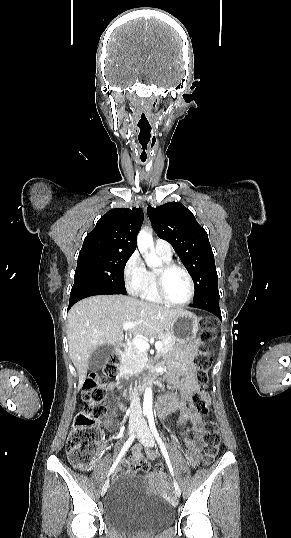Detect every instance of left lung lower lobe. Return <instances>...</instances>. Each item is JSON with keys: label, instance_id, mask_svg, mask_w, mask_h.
<instances>
[{"label": "left lung lower lobe", "instance_id": "left-lung-lower-lobe-1", "mask_svg": "<svg viewBox=\"0 0 291 538\" xmlns=\"http://www.w3.org/2000/svg\"><path fill=\"white\" fill-rule=\"evenodd\" d=\"M190 306L209 311L222 320L219 308V292L211 293L202 300L193 302Z\"/></svg>", "mask_w": 291, "mask_h": 538}]
</instances>
